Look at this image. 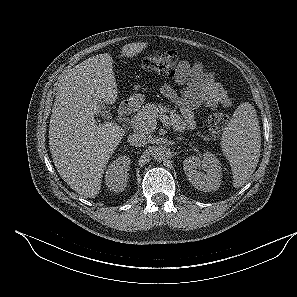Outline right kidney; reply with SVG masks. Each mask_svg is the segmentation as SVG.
Listing matches in <instances>:
<instances>
[{
  "instance_id": "right-kidney-1",
  "label": "right kidney",
  "mask_w": 297,
  "mask_h": 297,
  "mask_svg": "<svg viewBox=\"0 0 297 297\" xmlns=\"http://www.w3.org/2000/svg\"><path fill=\"white\" fill-rule=\"evenodd\" d=\"M131 160L128 156H120L108 165L105 183L111 191L122 192L129 178Z\"/></svg>"
}]
</instances>
